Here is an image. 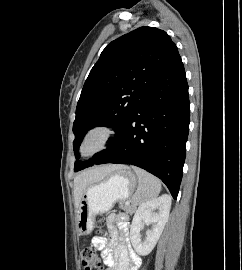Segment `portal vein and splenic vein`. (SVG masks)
I'll list each match as a JSON object with an SVG mask.
<instances>
[{
    "mask_svg": "<svg viewBox=\"0 0 242 270\" xmlns=\"http://www.w3.org/2000/svg\"><path fill=\"white\" fill-rule=\"evenodd\" d=\"M129 203H130L129 201L126 202V204H129Z\"/></svg>",
    "mask_w": 242,
    "mask_h": 270,
    "instance_id": "1",
    "label": "portal vein and splenic vein"
}]
</instances>
